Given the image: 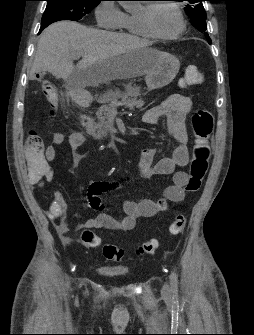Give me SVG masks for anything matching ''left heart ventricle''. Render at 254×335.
Wrapping results in <instances>:
<instances>
[{
  "instance_id": "1",
  "label": "left heart ventricle",
  "mask_w": 254,
  "mask_h": 335,
  "mask_svg": "<svg viewBox=\"0 0 254 335\" xmlns=\"http://www.w3.org/2000/svg\"><path fill=\"white\" fill-rule=\"evenodd\" d=\"M152 21L156 30L162 34H172L180 26L177 13L167 5H160L154 10Z\"/></svg>"
}]
</instances>
